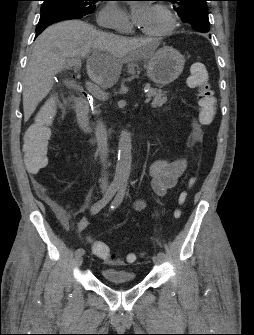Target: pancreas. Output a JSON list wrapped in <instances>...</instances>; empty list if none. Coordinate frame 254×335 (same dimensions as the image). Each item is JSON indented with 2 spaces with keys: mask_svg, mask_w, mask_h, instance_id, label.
I'll list each match as a JSON object with an SVG mask.
<instances>
[{
  "mask_svg": "<svg viewBox=\"0 0 254 335\" xmlns=\"http://www.w3.org/2000/svg\"><path fill=\"white\" fill-rule=\"evenodd\" d=\"M147 97H153L152 107L157 108L161 107L163 104L167 102V92L162 91L160 89H150L147 93Z\"/></svg>",
  "mask_w": 254,
  "mask_h": 335,
  "instance_id": "cf45deb5",
  "label": "pancreas"
}]
</instances>
